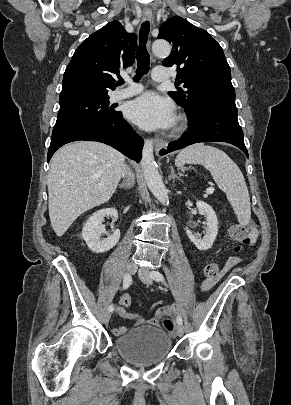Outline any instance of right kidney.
Segmentation results:
<instances>
[{
	"instance_id": "1",
	"label": "right kidney",
	"mask_w": 291,
	"mask_h": 405,
	"mask_svg": "<svg viewBox=\"0 0 291 405\" xmlns=\"http://www.w3.org/2000/svg\"><path fill=\"white\" fill-rule=\"evenodd\" d=\"M105 216H112L114 220H117L118 212L115 208L99 210L87 220L82 230V238L89 249L95 253H103L112 249L120 238L118 229L113 230V233L107 238H101L102 234L106 233L105 226L102 224Z\"/></svg>"
}]
</instances>
